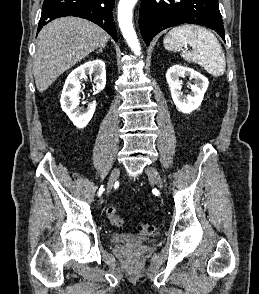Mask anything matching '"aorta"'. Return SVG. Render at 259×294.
<instances>
[{"mask_svg": "<svg viewBox=\"0 0 259 294\" xmlns=\"http://www.w3.org/2000/svg\"><path fill=\"white\" fill-rule=\"evenodd\" d=\"M138 0H120L118 4V22L123 37L135 55L140 56L141 47L133 27V8Z\"/></svg>", "mask_w": 259, "mask_h": 294, "instance_id": "obj_1", "label": "aorta"}]
</instances>
